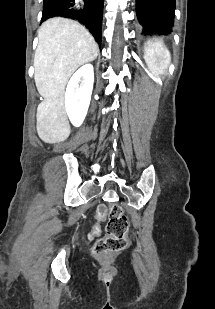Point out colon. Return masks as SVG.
I'll return each mask as SVG.
<instances>
[{
	"instance_id": "obj_1",
	"label": "colon",
	"mask_w": 215,
	"mask_h": 309,
	"mask_svg": "<svg viewBox=\"0 0 215 309\" xmlns=\"http://www.w3.org/2000/svg\"><path fill=\"white\" fill-rule=\"evenodd\" d=\"M107 237L97 241L92 249L94 255L100 258L124 250L127 247L125 232L127 219L119 207H112L109 210V220L105 226Z\"/></svg>"
}]
</instances>
